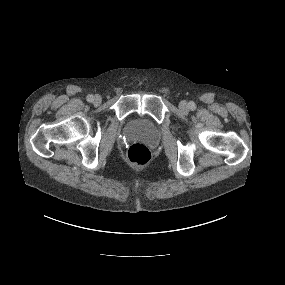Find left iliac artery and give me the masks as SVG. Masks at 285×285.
<instances>
[{
    "label": "left iliac artery",
    "instance_id": "1",
    "mask_svg": "<svg viewBox=\"0 0 285 285\" xmlns=\"http://www.w3.org/2000/svg\"><path fill=\"white\" fill-rule=\"evenodd\" d=\"M189 107L191 110H194L196 108L195 103L194 102H189Z\"/></svg>",
    "mask_w": 285,
    "mask_h": 285
}]
</instances>
